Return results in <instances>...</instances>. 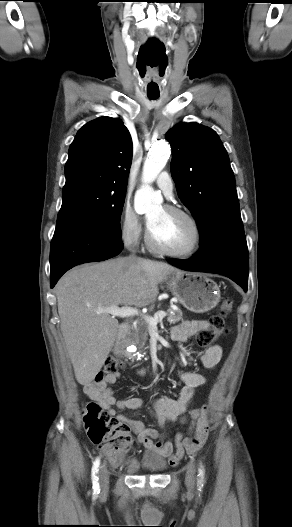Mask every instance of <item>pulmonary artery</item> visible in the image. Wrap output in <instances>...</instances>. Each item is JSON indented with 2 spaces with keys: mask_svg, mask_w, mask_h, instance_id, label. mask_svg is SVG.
Masks as SVG:
<instances>
[{
  "mask_svg": "<svg viewBox=\"0 0 292 527\" xmlns=\"http://www.w3.org/2000/svg\"><path fill=\"white\" fill-rule=\"evenodd\" d=\"M156 184L165 195L172 196L174 185L171 176L167 172L164 171L157 176Z\"/></svg>",
  "mask_w": 292,
  "mask_h": 527,
  "instance_id": "obj_1",
  "label": "pulmonary artery"
}]
</instances>
